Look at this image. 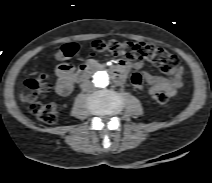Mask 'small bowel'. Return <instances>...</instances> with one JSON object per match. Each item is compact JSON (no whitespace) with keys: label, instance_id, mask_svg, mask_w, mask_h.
<instances>
[{"label":"small bowel","instance_id":"small-bowel-1","mask_svg":"<svg viewBox=\"0 0 212 183\" xmlns=\"http://www.w3.org/2000/svg\"><path fill=\"white\" fill-rule=\"evenodd\" d=\"M144 66L142 61H137L134 64H130L123 61L119 65V69L123 74H126L131 68L140 70ZM57 81L55 85L56 92L61 96H67L73 89L74 75L72 67L64 68L59 65L56 70ZM183 69L179 67L177 74L172 79L154 75L148 72L134 73L131 77V83L138 89H143V80L149 84V94H155L157 92H166L169 96H174L179 88L183 85Z\"/></svg>","mask_w":212,"mask_h":183}]
</instances>
